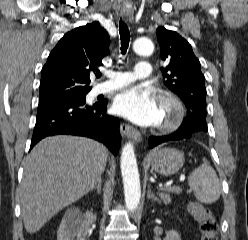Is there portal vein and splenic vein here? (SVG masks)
Returning <instances> with one entry per match:
<instances>
[{
    "mask_svg": "<svg viewBox=\"0 0 248 240\" xmlns=\"http://www.w3.org/2000/svg\"><path fill=\"white\" fill-rule=\"evenodd\" d=\"M167 188H169V189H171V190H173V191H175L177 193H180L182 191L181 188H179L177 186H170V187H167Z\"/></svg>",
    "mask_w": 248,
    "mask_h": 240,
    "instance_id": "portal-vein-and-splenic-vein-1",
    "label": "portal vein and splenic vein"
}]
</instances>
